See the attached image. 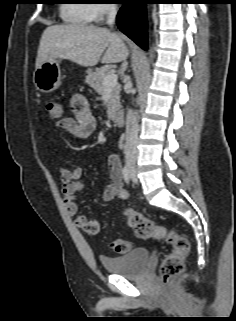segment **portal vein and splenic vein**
I'll return each instance as SVG.
<instances>
[{"mask_svg":"<svg viewBox=\"0 0 236 321\" xmlns=\"http://www.w3.org/2000/svg\"><path fill=\"white\" fill-rule=\"evenodd\" d=\"M117 79L118 77L116 74L110 73L104 78L103 85L105 87H112L117 84Z\"/></svg>","mask_w":236,"mask_h":321,"instance_id":"18ae733b","label":"portal vein and splenic vein"}]
</instances>
